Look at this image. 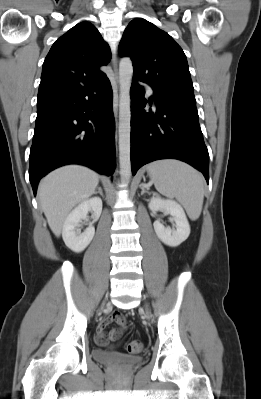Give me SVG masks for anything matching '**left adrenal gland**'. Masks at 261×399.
<instances>
[{"label":"left adrenal gland","mask_w":261,"mask_h":399,"mask_svg":"<svg viewBox=\"0 0 261 399\" xmlns=\"http://www.w3.org/2000/svg\"><path fill=\"white\" fill-rule=\"evenodd\" d=\"M140 188H141V194H144V193H148L149 194V186L148 185H146V184H141L140 185Z\"/></svg>","instance_id":"1"}]
</instances>
